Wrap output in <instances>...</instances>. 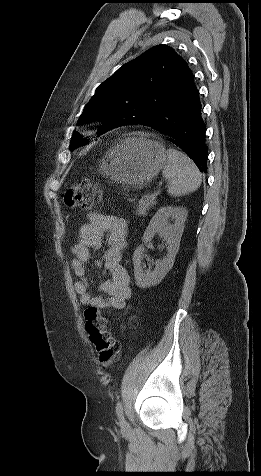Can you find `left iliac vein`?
I'll return each instance as SVG.
<instances>
[{
  "label": "left iliac vein",
  "mask_w": 261,
  "mask_h": 476,
  "mask_svg": "<svg viewBox=\"0 0 261 476\" xmlns=\"http://www.w3.org/2000/svg\"><path fill=\"white\" fill-rule=\"evenodd\" d=\"M122 424L125 425V421H122Z\"/></svg>",
  "instance_id": "1"
}]
</instances>
